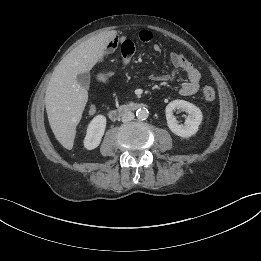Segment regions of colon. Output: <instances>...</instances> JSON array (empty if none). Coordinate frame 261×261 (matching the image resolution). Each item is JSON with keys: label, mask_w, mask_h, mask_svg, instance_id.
I'll return each mask as SVG.
<instances>
[{"label": "colon", "mask_w": 261, "mask_h": 261, "mask_svg": "<svg viewBox=\"0 0 261 261\" xmlns=\"http://www.w3.org/2000/svg\"><path fill=\"white\" fill-rule=\"evenodd\" d=\"M111 74H112L111 71L100 72L97 75V78L100 82H105L111 76ZM202 96H203L205 101L212 102L216 98V93H215V90L212 87L206 86L202 90Z\"/></svg>", "instance_id": "colon-1"}]
</instances>
